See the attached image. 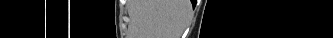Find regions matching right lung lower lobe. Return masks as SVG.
<instances>
[{
    "mask_svg": "<svg viewBox=\"0 0 333 38\" xmlns=\"http://www.w3.org/2000/svg\"><path fill=\"white\" fill-rule=\"evenodd\" d=\"M191 2H192V4H193V6H194V5H195V3H196L195 1H191Z\"/></svg>",
    "mask_w": 333,
    "mask_h": 38,
    "instance_id": "1",
    "label": "right lung lower lobe"
}]
</instances>
